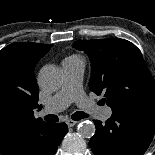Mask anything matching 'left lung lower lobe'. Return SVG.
I'll return each instance as SVG.
<instances>
[{"instance_id":"1","label":"left lung lower lobe","mask_w":155,"mask_h":155,"mask_svg":"<svg viewBox=\"0 0 155 155\" xmlns=\"http://www.w3.org/2000/svg\"><path fill=\"white\" fill-rule=\"evenodd\" d=\"M89 146L95 155H143L155 133V112L112 113L105 123L93 120Z\"/></svg>"}]
</instances>
